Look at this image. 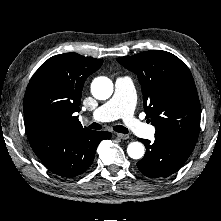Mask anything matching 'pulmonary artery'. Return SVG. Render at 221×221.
<instances>
[{"label":"pulmonary artery","mask_w":221,"mask_h":221,"mask_svg":"<svg viewBox=\"0 0 221 221\" xmlns=\"http://www.w3.org/2000/svg\"><path fill=\"white\" fill-rule=\"evenodd\" d=\"M135 89L130 77H118L112 98L98 107L91 115L95 121H111L122 118L133 133L140 137L152 138L155 129L134 116Z\"/></svg>","instance_id":"pulmonary-artery-1"}]
</instances>
